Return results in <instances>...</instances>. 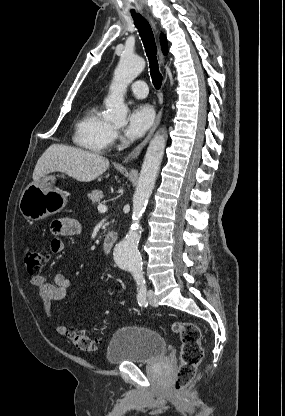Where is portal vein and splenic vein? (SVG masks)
<instances>
[{
	"label": "portal vein and splenic vein",
	"instance_id": "obj_1",
	"mask_svg": "<svg viewBox=\"0 0 285 416\" xmlns=\"http://www.w3.org/2000/svg\"><path fill=\"white\" fill-rule=\"evenodd\" d=\"M98 210L100 214H105V212H107V206H104V204H99Z\"/></svg>",
	"mask_w": 285,
	"mask_h": 416
}]
</instances>
